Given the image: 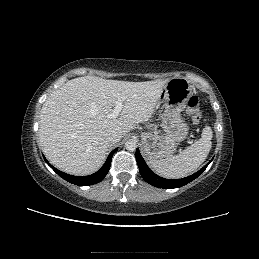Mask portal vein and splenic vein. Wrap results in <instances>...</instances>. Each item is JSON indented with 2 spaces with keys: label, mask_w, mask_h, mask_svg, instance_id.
<instances>
[{
  "label": "portal vein and splenic vein",
  "mask_w": 259,
  "mask_h": 259,
  "mask_svg": "<svg viewBox=\"0 0 259 259\" xmlns=\"http://www.w3.org/2000/svg\"><path fill=\"white\" fill-rule=\"evenodd\" d=\"M122 108H123V102H122V100H117V101L115 102V107H114V109L112 110V112L109 114V116H110L111 118H117V117L119 116V114H120Z\"/></svg>",
  "instance_id": "portal-vein-and-splenic-vein-1"
}]
</instances>
